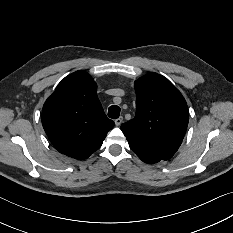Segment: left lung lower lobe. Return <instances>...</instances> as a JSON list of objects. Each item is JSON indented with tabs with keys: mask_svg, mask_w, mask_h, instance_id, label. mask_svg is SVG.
Listing matches in <instances>:
<instances>
[{
	"mask_svg": "<svg viewBox=\"0 0 233 233\" xmlns=\"http://www.w3.org/2000/svg\"><path fill=\"white\" fill-rule=\"evenodd\" d=\"M139 158L146 162V163H156V162H159L160 160L154 158V157H151V156H148V155H145V154H141V153H136Z\"/></svg>",
	"mask_w": 233,
	"mask_h": 233,
	"instance_id": "left-lung-lower-lobe-1",
	"label": "left lung lower lobe"
}]
</instances>
